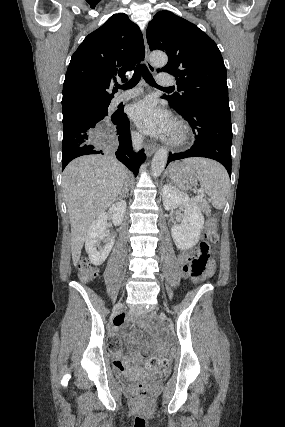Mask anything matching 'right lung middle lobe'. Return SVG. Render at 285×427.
<instances>
[{
	"mask_svg": "<svg viewBox=\"0 0 285 427\" xmlns=\"http://www.w3.org/2000/svg\"><path fill=\"white\" fill-rule=\"evenodd\" d=\"M110 102H106L103 104H99L97 108H95V112L97 114H99L100 117L102 118H109L112 119L117 113L115 112L112 115H108V107H109ZM68 116V115H67ZM67 116H63V117H67Z\"/></svg>",
	"mask_w": 285,
	"mask_h": 427,
	"instance_id": "dd1d6c3e",
	"label": "right lung middle lobe"
}]
</instances>
